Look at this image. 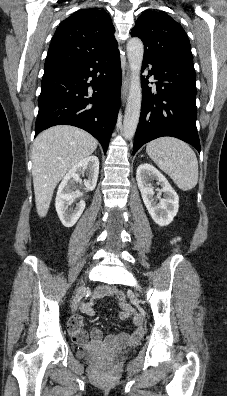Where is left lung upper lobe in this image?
Returning <instances> with one entry per match:
<instances>
[{"mask_svg": "<svg viewBox=\"0 0 227 396\" xmlns=\"http://www.w3.org/2000/svg\"><path fill=\"white\" fill-rule=\"evenodd\" d=\"M131 36L144 43V55L177 61L194 67L189 39L172 17L161 11H147L136 21Z\"/></svg>", "mask_w": 227, "mask_h": 396, "instance_id": "obj_1", "label": "left lung upper lobe"}]
</instances>
